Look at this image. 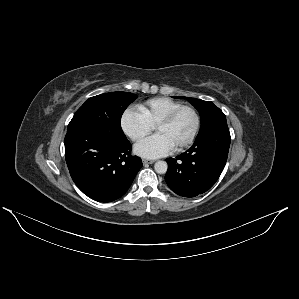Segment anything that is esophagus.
<instances>
[{"label":"esophagus","mask_w":299,"mask_h":299,"mask_svg":"<svg viewBox=\"0 0 299 299\" xmlns=\"http://www.w3.org/2000/svg\"><path fill=\"white\" fill-rule=\"evenodd\" d=\"M142 162H143L144 165H147V164H153L155 161L150 160V159H143Z\"/></svg>","instance_id":"obj_1"}]
</instances>
